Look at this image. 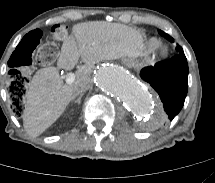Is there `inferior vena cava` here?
Returning a JSON list of instances; mask_svg holds the SVG:
<instances>
[{"mask_svg": "<svg viewBox=\"0 0 215 183\" xmlns=\"http://www.w3.org/2000/svg\"><path fill=\"white\" fill-rule=\"evenodd\" d=\"M92 87V82L90 79H83V80H79L75 83V93L79 94V93H83L86 92L87 90H89Z\"/></svg>", "mask_w": 215, "mask_h": 183, "instance_id": "obj_1", "label": "inferior vena cava"}]
</instances>
